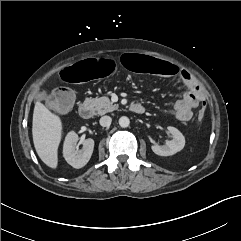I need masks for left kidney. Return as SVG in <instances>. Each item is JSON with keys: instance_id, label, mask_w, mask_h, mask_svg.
<instances>
[{"instance_id": "left-kidney-1", "label": "left kidney", "mask_w": 241, "mask_h": 241, "mask_svg": "<svg viewBox=\"0 0 241 241\" xmlns=\"http://www.w3.org/2000/svg\"><path fill=\"white\" fill-rule=\"evenodd\" d=\"M169 133L172 134L173 139L171 141H167L165 145H153L152 151L160 156H170L175 153L181 151L185 146V137L183 134L175 127L169 126L167 127Z\"/></svg>"}]
</instances>
